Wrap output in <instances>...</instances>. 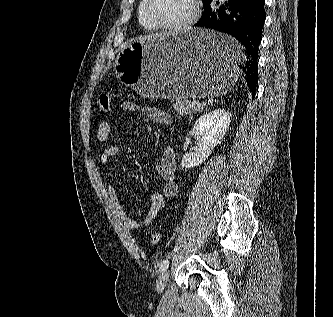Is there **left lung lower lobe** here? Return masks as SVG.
<instances>
[{
	"label": "left lung lower lobe",
	"instance_id": "obj_1",
	"mask_svg": "<svg viewBox=\"0 0 333 317\" xmlns=\"http://www.w3.org/2000/svg\"><path fill=\"white\" fill-rule=\"evenodd\" d=\"M264 4L265 0H211L195 24L196 27L230 34L245 47L246 57L242 56L236 42L213 47L210 52L230 63L241 60L237 65L253 98L258 80V47L266 19Z\"/></svg>",
	"mask_w": 333,
	"mask_h": 317
}]
</instances>
